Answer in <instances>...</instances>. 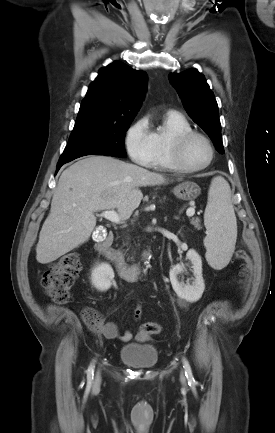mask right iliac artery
Instances as JSON below:
<instances>
[{
	"instance_id": "82829eb1",
	"label": "right iliac artery",
	"mask_w": 275,
	"mask_h": 433,
	"mask_svg": "<svg viewBox=\"0 0 275 433\" xmlns=\"http://www.w3.org/2000/svg\"><path fill=\"white\" fill-rule=\"evenodd\" d=\"M94 363H92L87 370V380L88 382H92L94 378Z\"/></svg>"
}]
</instances>
